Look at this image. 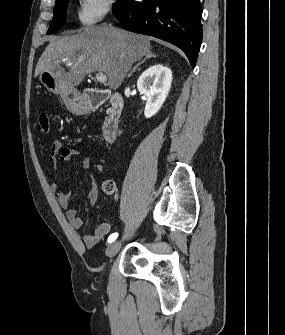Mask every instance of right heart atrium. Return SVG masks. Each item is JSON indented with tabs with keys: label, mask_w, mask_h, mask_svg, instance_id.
<instances>
[{
	"label": "right heart atrium",
	"mask_w": 285,
	"mask_h": 335,
	"mask_svg": "<svg viewBox=\"0 0 285 335\" xmlns=\"http://www.w3.org/2000/svg\"><path fill=\"white\" fill-rule=\"evenodd\" d=\"M111 6L112 1H81L74 12V19L83 27L93 26L107 15Z\"/></svg>",
	"instance_id": "right-heart-atrium-1"
}]
</instances>
